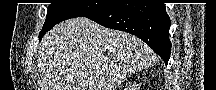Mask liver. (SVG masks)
I'll return each mask as SVG.
<instances>
[{
  "label": "liver",
  "instance_id": "1",
  "mask_svg": "<svg viewBox=\"0 0 216 90\" xmlns=\"http://www.w3.org/2000/svg\"><path fill=\"white\" fill-rule=\"evenodd\" d=\"M39 90H117L133 72L150 66L142 40L88 18L57 24L42 38Z\"/></svg>",
  "mask_w": 216,
  "mask_h": 90
}]
</instances>
